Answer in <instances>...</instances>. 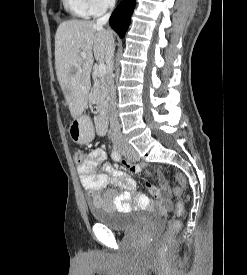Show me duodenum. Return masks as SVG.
Segmentation results:
<instances>
[{"mask_svg": "<svg viewBox=\"0 0 247 275\" xmlns=\"http://www.w3.org/2000/svg\"><path fill=\"white\" fill-rule=\"evenodd\" d=\"M95 128L99 136H104L107 132V119L104 115L95 118Z\"/></svg>", "mask_w": 247, "mask_h": 275, "instance_id": "duodenum-1", "label": "duodenum"}]
</instances>
